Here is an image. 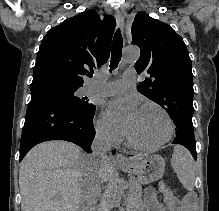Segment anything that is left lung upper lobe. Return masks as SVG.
Listing matches in <instances>:
<instances>
[{
	"instance_id": "obj_1",
	"label": "left lung upper lobe",
	"mask_w": 219,
	"mask_h": 211,
	"mask_svg": "<svg viewBox=\"0 0 219 211\" xmlns=\"http://www.w3.org/2000/svg\"><path fill=\"white\" fill-rule=\"evenodd\" d=\"M131 33L132 43L141 49L135 69L149 74L137 90L169 113L176 133L194 132L193 74L183 39L168 24L144 12L136 14Z\"/></svg>"
}]
</instances>
